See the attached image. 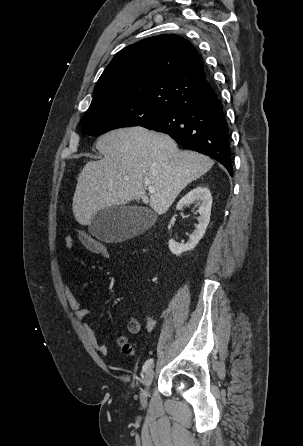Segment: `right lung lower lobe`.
<instances>
[{
  "label": "right lung lower lobe",
  "mask_w": 303,
  "mask_h": 446,
  "mask_svg": "<svg viewBox=\"0 0 303 446\" xmlns=\"http://www.w3.org/2000/svg\"><path fill=\"white\" fill-rule=\"evenodd\" d=\"M141 126L166 133L181 146L214 158L232 176L228 125L221 100L213 89L177 104Z\"/></svg>",
  "instance_id": "right-lung-lower-lobe-1"
}]
</instances>
